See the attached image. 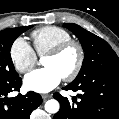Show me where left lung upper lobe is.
<instances>
[{
    "instance_id": "1",
    "label": "left lung upper lobe",
    "mask_w": 119,
    "mask_h": 119,
    "mask_svg": "<svg viewBox=\"0 0 119 119\" xmlns=\"http://www.w3.org/2000/svg\"><path fill=\"white\" fill-rule=\"evenodd\" d=\"M64 26L78 37L85 51L81 70L73 82L88 80L104 71L119 70V58L105 40L79 25L67 23Z\"/></svg>"
}]
</instances>
